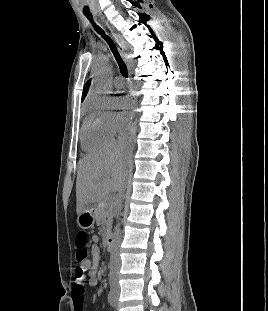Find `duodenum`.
Segmentation results:
<instances>
[{
	"label": "duodenum",
	"mask_w": 268,
	"mask_h": 311,
	"mask_svg": "<svg viewBox=\"0 0 268 311\" xmlns=\"http://www.w3.org/2000/svg\"><path fill=\"white\" fill-rule=\"evenodd\" d=\"M105 246L108 250H112L114 247V237L112 235H108L105 239Z\"/></svg>",
	"instance_id": "duodenum-1"
}]
</instances>
